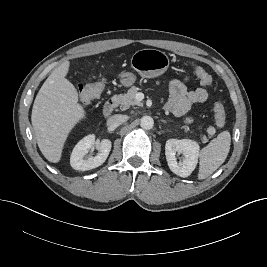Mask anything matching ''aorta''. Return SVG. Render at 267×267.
Instances as JSON below:
<instances>
[{"label":"aorta","mask_w":267,"mask_h":267,"mask_svg":"<svg viewBox=\"0 0 267 267\" xmlns=\"http://www.w3.org/2000/svg\"><path fill=\"white\" fill-rule=\"evenodd\" d=\"M140 125L143 129L145 130H150L153 128L154 126V120L152 117L150 116H143L141 118V122H140Z\"/></svg>","instance_id":"obj_1"}]
</instances>
